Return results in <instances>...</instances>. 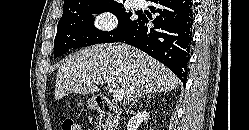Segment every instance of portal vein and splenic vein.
<instances>
[{
    "instance_id": "18ae733b",
    "label": "portal vein and splenic vein",
    "mask_w": 249,
    "mask_h": 130,
    "mask_svg": "<svg viewBox=\"0 0 249 130\" xmlns=\"http://www.w3.org/2000/svg\"><path fill=\"white\" fill-rule=\"evenodd\" d=\"M97 83L104 84L107 83V85L113 89V98L115 101H121L124 98V91L116 88V83L112 80L108 79H102V80H94Z\"/></svg>"
}]
</instances>
